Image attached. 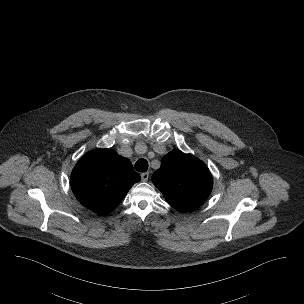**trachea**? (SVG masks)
<instances>
[{
    "label": "trachea",
    "mask_w": 304,
    "mask_h": 304,
    "mask_svg": "<svg viewBox=\"0 0 304 304\" xmlns=\"http://www.w3.org/2000/svg\"><path fill=\"white\" fill-rule=\"evenodd\" d=\"M135 169L139 172H146L148 170V161L146 159H139L135 163Z\"/></svg>",
    "instance_id": "obj_1"
}]
</instances>
